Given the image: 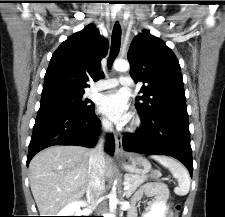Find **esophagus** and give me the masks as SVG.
Listing matches in <instances>:
<instances>
[{
    "label": "esophagus",
    "instance_id": "34e87169",
    "mask_svg": "<svg viewBox=\"0 0 225 217\" xmlns=\"http://www.w3.org/2000/svg\"><path fill=\"white\" fill-rule=\"evenodd\" d=\"M117 20L119 21L120 24L123 22L122 15L119 14L117 16ZM123 154V149H122V136L120 133L115 134V155L120 156Z\"/></svg>",
    "mask_w": 225,
    "mask_h": 217
}]
</instances>
